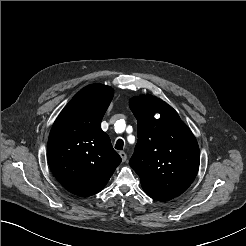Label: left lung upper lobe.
Returning <instances> with one entry per match:
<instances>
[{"label": "left lung upper lobe", "instance_id": "1", "mask_svg": "<svg viewBox=\"0 0 246 246\" xmlns=\"http://www.w3.org/2000/svg\"><path fill=\"white\" fill-rule=\"evenodd\" d=\"M129 105L138 122V142L130 166L142 186L179 196L199 169L200 153L194 135L176 111L158 98L134 97Z\"/></svg>", "mask_w": 246, "mask_h": 246}]
</instances>
